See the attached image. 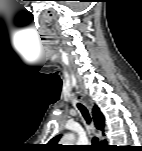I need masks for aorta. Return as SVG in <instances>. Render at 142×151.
Masks as SVG:
<instances>
[{
    "mask_svg": "<svg viewBox=\"0 0 142 151\" xmlns=\"http://www.w3.org/2000/svg\"><path fill=\"white\" fill-rule=\"evenodd\" d=\"M74 140H75V135L73 133H67L62 137L60 143L62 145H72Z\"/></svg>",
    "mask_w": 142,
    "mask_h": 151,
    "instance_id": "1",
    "label": "aorta"
}]
</instances>
